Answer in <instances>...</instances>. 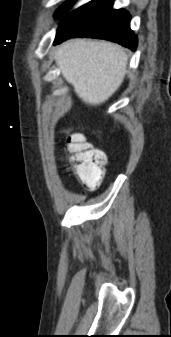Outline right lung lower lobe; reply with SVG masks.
Masks as SVG:
<instances>
[{"label": "right lung lower lobe", "mask_w": 171, "mask_h": 337, "mask_svg": "<svg viewBox=\"0 0 171 337\" xmlns=\"http://www.w3.org/2000/svg\"><path fill=\"white\" fill-rule=\"evenodd\" d=\"M112 5L113 0H92L73 11L60 24L54 44L74 37H92L135 50L137 37L130 29V14L123 9L113 10Z\"/></svg>", "instance_id": "obj_1"}]
</instances>
